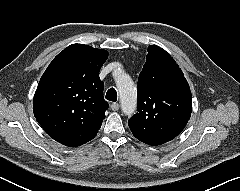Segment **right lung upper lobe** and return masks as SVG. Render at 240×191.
I'll return each instance as SVG.
<instances>
[{
  "mask_svg": "<svg viewBox=\"0 0 240 191\" xmlns=\"http://www.w3.org/2000/svg\"><path fill=\"white\" fill-rule=\"evenodd\" d=\"M108 52L72 44L60 52L42 75L33 100L35 118L55 141L77 147L92 140L108 103L99 78Z\"/></svg>",
  "mask_w": 240,
  "mask_h": 191,
  "instance_id": "cb5924a9",
  "label": "right lung upper lobe"
}]
</instances>
